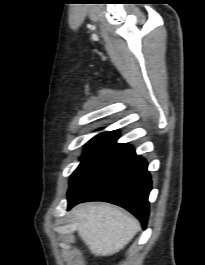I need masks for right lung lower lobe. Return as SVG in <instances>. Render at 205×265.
Instances as JSON below:
<instances>
[{"label":"right lung lower lobe","mask_w":205,"mask_h":265,"mask_svg":"<svg viewBox=\"0 0 205 265\" xmlns=\"http://www.w3.org/2000/svg\"><path fill=\"white\" fill-rule=\"evenodd\" d=\"M145 159L133 147L114 142L68 191V209L87 201H106L119 205L146 227L151 177Z\"/></svg>","instance_id":"right-lung-lower-lobe-1"}]
</instances>
